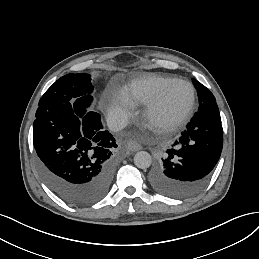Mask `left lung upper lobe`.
<instances>
[{
	"label": "left lung upper lobe",
	"instance_id": "1",
	"mask_svg": "<svg viewBox=\"0 0 259 259\" xmlns=\"http://www.w3.org/2000/svg\"><path fill=\"white\" fill-rule=\"evenodd\" d=\"M192 81L195 85V88L197 89L199 104L215 100L214 95L204 85H202L195 79H192Z\"/></svg>",
	"mask_w": 259,
	"mask_h": 259
}]
</instances>
